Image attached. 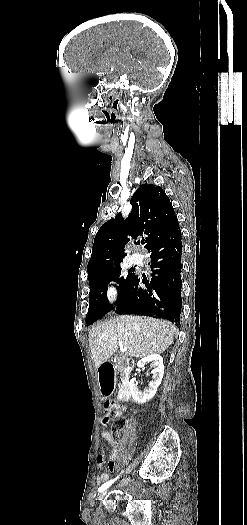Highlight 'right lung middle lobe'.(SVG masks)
<instances>
[{
	"label": "right lung middle lobe",
	"instance_id": "right-lung-middle-lobe-1",
	"mask_svg": "<svg viewBox=\"0 0 247 525\" xmlns=\"http://www.w3.org/2000/svg\"><path fill=\"white\" fill-rule=\"evenodd\" d=\"M134 277L135 275L132 273L128 274L126 277H121V268L88 275L90 294L89 309L86 316L87 325L92 324L94 321L103 317L106 313L113 309V306L109 304L106 295L108 283L112 280L119 283V305Z\"/></svg>",
	"mask_w": 247,
	"mask_h": 525
}]
</instances>
